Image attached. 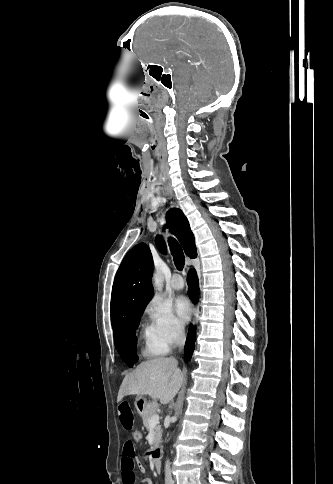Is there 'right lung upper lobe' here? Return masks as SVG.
<instances>
[{
    "mask_svg": "<svg viewBox=\"0 0 333 484\" xmlns=\"http://www.w3.org/2000/svg\"><path fill=\"white\" fill-rule=\"evenodd\" d=\"M167 227L179 239L190 258L197 256L194 235L180 209H170L167 214ZM156 245L166 253L162 237H156ZM153 259L149 247L140 243L132 248L123 259L112 288L111 322L115 332L132 313L144 311L153 294L151 283Z\"/></svg>",
    "mask_w": 333,
    "mask_h": 484,
    "instance_id": "obj_1",
    "label": "right lung upper lobe"
}]
</instances>
